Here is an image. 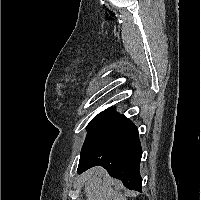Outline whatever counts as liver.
Segmentation results:
<instances>
[{"label": "liver", "instance_id": "obj_1", "mask_svg": "<svg viewBox=\"0 0 201 200\" xmlns=\"http://www.w3.org/2000/svg\"><path fill=\"white\" fill-rule=\"evenodd\" d=\"M84 192L87 200H126L119 192L111 187L109 177H105L103 169L93 168L85 173Z\"/></svg>", "mask_w": 201, "mask_h": 200}]
</instances>
